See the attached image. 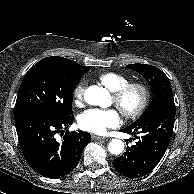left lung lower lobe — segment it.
Segmentation results:
<instances>
[{"label":"left lung lower lobe","mask_w":194,"mask_h":194,"mask_svg":"<svg viewBox=\"0 0 194 194\" xmlns=\"http://www.w3.org/2000/svg\"><path fill=\"white\" fill-rule=\"evenodd\" d=\"M175 121V109H162L140 117L121 132L134 135L138 141L128 147L120 157L113 160V166L120 174L138 178L149 173L162 159Z\"/></svg>","instance_id":"obj_1"}]
</instances>
